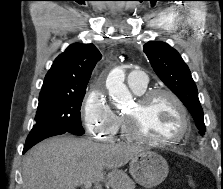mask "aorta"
I'll return each instance as SVG.
<instances>
[{"label":"aorta","mask_w":223,"mask_h":189,"mask_svg":"<svg viewBox=\"0 0 223 189\" xmlns=\"http://www.w3.org/2000/svg\"><path fill=\"white\" fill-rule=\"evenodd\" d=\"M124 80L125 70L122 67L112 69L106 79L109 96L118 109H125L132 103V95L124 84Z\"/></svg>","instance_id":"aorta-1"}]
</instances>
